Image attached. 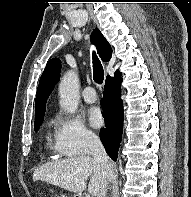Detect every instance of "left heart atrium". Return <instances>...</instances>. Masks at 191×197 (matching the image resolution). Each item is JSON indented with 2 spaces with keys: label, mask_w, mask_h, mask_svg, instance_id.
I'll return each mask as SVG.
<instances>
[{
  "label": "left heart atrium",
  "mask_w": 191,
  "mask_h": 197,
  "mask_svg": "<svg viewBox=\"0 0 191 197\" xmlns=\"http://www.w3.org/2000/svg\"><path fill=\"white\" fill-rule=\"evenodd\" d=\"M88 119L90 124L95 128H99L103 124V115L101 110L97 107H93L89 110Z\"/></svg>",
  "instance_id": "left-heart-atrium-1"
}]
</instances>
